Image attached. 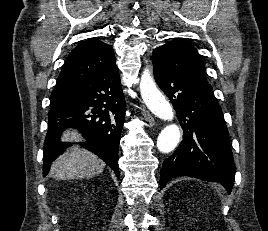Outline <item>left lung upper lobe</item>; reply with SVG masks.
Returning a JSON list of instances; mask_svg holds the SVG:
<instances>
[{
  "mask_svg": "<svg viewBox=\"0 0 268 231\" xmlns=\"http://www.w3.org/2000/svg\"><path fill=\"white\" fill-rule=\"evenodd\" d=\"M152 59L157 64L189 77L212 89L205 75V65L190 43L175 39L157 47L152 52Z\"/></svg>",
  "mask_w": 268,
  "mask_h": 231,
  "instance_id": "obj_1",
  "label": "left lung upper lobe"
}]
</instances>
